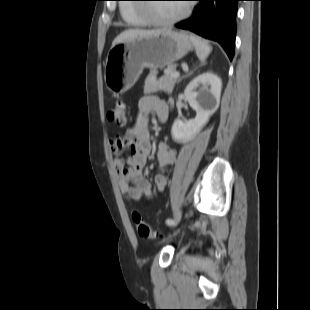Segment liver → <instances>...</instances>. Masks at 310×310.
Here are the masks:
<instances>
[{
	"instance_id": "6515ba94",
	"label": "liver",
	"mask_w": 310,
	"mask_h": 310,
	"mask_svg": "<svg viewBox=\"0 0 310 310\" xmlns=\"http://www.w3.org/2000/svg\"><path fill=\"white\" fill-rule=\"evenodd\" d=\"M162 31H165V30H162V29H157V30L128 29V30H125L122 33H120L114 39V41L112 42V47H114L115 45H117L121 42L134 40L136 38L151 36L154 34H158Z\"/></svg>"
}]
</instances>
